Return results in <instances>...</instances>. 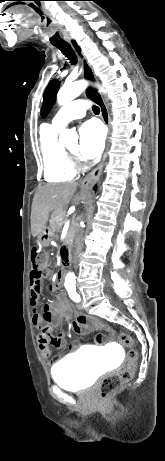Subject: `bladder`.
<instances>
[{
  "instance_id": "bladder-1",
  "label": "bladder",
  "mask_w": 165,
  "mask_h": 461,
  "mask_svg": "<svg viewBox=\"0 0 165 461\" xmlns=\"http://www.w3.org/2000/svg\"><path fill=\"white\" fill-rule=\"evenodd\" d=\"M106 361L98 359L95 351H79L54 365L51 370L53 380L71 391L89 388L105 371Z\"/></svg>"
}]
</instances>
